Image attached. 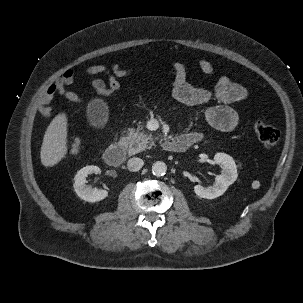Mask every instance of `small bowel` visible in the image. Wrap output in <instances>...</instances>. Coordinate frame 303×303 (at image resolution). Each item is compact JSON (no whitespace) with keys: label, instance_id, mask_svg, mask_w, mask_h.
Here are the masks:
<instances>
[{"label":"small bowel","instance_id":"1","mask_svg":"<svg viewBox=\"0 0 303 303\" xmlns=\"http://www.w3.org/2000/svg\"><path fill=\"white\" fill-rule=\"evenodd\" d=\"M198 66L204 74H213L214 65L207 59H200ZM149 67L143 63L123 67L120 63H115L111 67L104 65H91L86 68V73L90 76L105 74L107 79L92 78L91 86L96 94L102 97L105 91L116 92L121 85L119 79L128 77L133 73L148 70ZM173 72L165 75L171 85L173 98L185 105H201L212 100L218 102L217 105L206 107L203 112V120L210 127L220 131H232L239 122L238 113L229 104L244 100L247 97V90L239 83L223 76L218 79L212 88L199 87L191 84L188 80V70L184 63L174 61L172 64ZM75 74L72 70L65 71L53 84H51L40 98L38 111L49 119L52 117L51 101L57 95L64 97L72 103H82L81 97L70 90L69 87L74 83ZM185 135L191 137L194 143L203 137L201 131H191Z\"/></svg>","mask_w":303,"mask_h":303}]
</instances>
